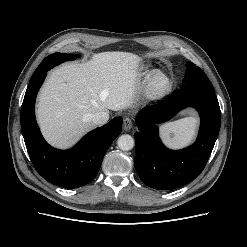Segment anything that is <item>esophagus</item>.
I'll use <instances>...</instances> for the list:
<instances>
[{"mask_svg":"<svg viewBox=\"0 0 247 247\" xmlns=\"http://www.w3.org/2000/svg\"><path fill=\"white\" fill-rule=\"evenodd\" d=\"M132 127H133V122H132L131 118L126 117L123 120V128H124V130L129 131Z\"/></svg>","mask_w":247,"mask_h":247,"instance_id":"34e87169","label":"esophagus"}]
</instances>
